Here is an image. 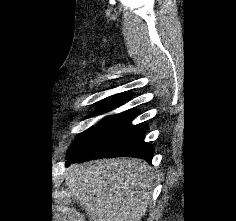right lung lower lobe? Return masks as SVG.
Masks as SVG:
<instances>
[{"instance_id": "98d812e1", "label": "right lung lower lobe", "mask_w": 236, "mask_h": 221, "mask_svg": "<svg viewBox=\"0 0 236 221\" xmlns=\"http://www.w3.org/2000/svg\"><path fill=\"white\" fill-rule=\"evenodd\" d=\"M136 112L120 113L108 119L72 154L66 165L107 157H137L151 162L154 148L144 142L148 126L132 125Z\"/></svg>"}]
</instances>
